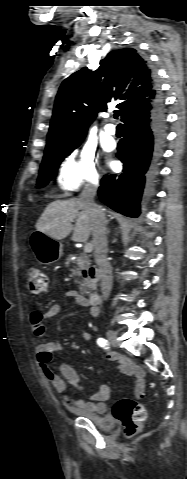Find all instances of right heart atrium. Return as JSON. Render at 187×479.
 Segmentation results:
<instances>
[{
    "mask_svg": "<svg viewBox=\"0 0 187 479\" xmlns=\"http://www.w3.org/2000/svg\"><path fill=\"white\" fill-rule=\"evenodd\" d=\"M101 179L96 152L83 147L68 155L57 170V183L64 193H72L85 185L96 186Z\"/></svg>",
    "mask_w": 187,
    "mask_h": 479,
    "instance_id": "d8ad5b80",
    "label": "right heart atrium"
}]
</instances>
